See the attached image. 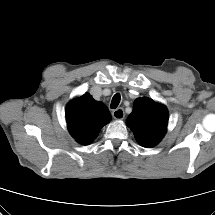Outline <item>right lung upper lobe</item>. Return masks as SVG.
<instances>
[{
  "label": "right lung upper lobe",
  "mask_w": 215,
  "mask_h": 215,
  "mask_svg": "<svg viewBox=\"0 0 215 215\" xmlns=\"http://www.w3.org/2000/svg\"><path fill=\"white\" fill-rule=\"evenodd\" d=\"M66 120L70 134L80 144L87 145L111 120V114L102 102L86 93L67 105Z\"/></svg>",
  "instance_id": "cb5924a9"
}]
</instances>
